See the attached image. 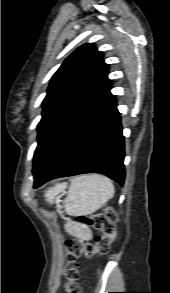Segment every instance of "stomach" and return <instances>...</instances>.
Instances as JSON below:
<instances>
[{
  "label": "stomach",
  "mask_w": 170,
  "mask_h": 293,
  "mask_svg": "<svg viewBox=\"0 0 170 293\" xmlns=\"http://www.w3.org/2000/svg\"><path fill=\"white\" fill-rule=\"evenodd\" d=\"M74 235L76 236H80L83 239H86L90 236L89 230L87 228L84 227H79L78 229L76 228L75 225H73L70 229H69Z\"/></svg>",
  "instance_id": "stomach-1"
}]
</instances>
